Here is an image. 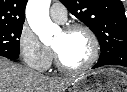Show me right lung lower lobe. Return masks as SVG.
Returning <instances> with one entry per match:
<instances>
[{
	"label": "right lung lower lobe",
	"instance_id": "1",
	"mask_svg": "<svg viewBox=\"0 0 127 92\" xmlns=\"http://www.w3.org/2000/svg\"><path fill=\"white\" fill-rule=\"evenodd\" d=\"M0 56H4L8 59H11V60H15L18 58L17 55H13V54H8V53H5V52H0Z\"/></svg>",
	"mask_w": 127,
	"mask_h": 92
}]
</instances>
